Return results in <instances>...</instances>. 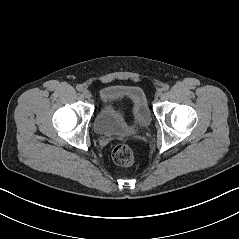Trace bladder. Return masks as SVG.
<instances>
[{
    "instance_id": "1",
    "label": "bladder",
    "mask_w": 239,
    "mask_h": 239,
    "mask_svg": "<svg viewBox=\"0 0 239 239\" xmlns=\"http://www.w3.org/2000/svg\"><path fill=\"white\" fill-rule=\"evenodd\" d=\"M101 107L93 121L95 132L101 136L143 133L151 124V113L145 92L139 86H109L101 92ZM124 103L132 112L133 124L128 126L120 111Z\"/></svg>"
}]
</instances>
